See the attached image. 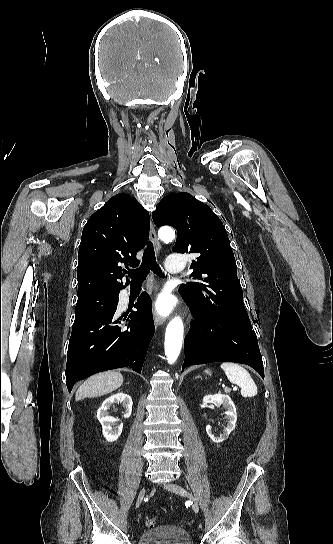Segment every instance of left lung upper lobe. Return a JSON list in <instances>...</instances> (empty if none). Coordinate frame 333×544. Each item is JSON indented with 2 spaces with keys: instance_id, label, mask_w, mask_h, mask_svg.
<instances>
[{
  "instance_id": "5c2ea615",
  "label": "left lung upper lobe",
  "mask_w": 333,
  "mask_h": 544,
  "mask_svg": "<svg viewBox=\"0 0 333 544\" xmlns=\"http://www.w3.org/2000/svg\"><path fill=\"white\" fill-rule=\"evenodd\" d=\"M152 218L158 227L177 230L174 252L199 255L191 264V278L198 281L182 284L179 292L220 318L252 328L228 235L211 208L189 193H174L160 201Z\"/></svg>"
}]
</instances>
